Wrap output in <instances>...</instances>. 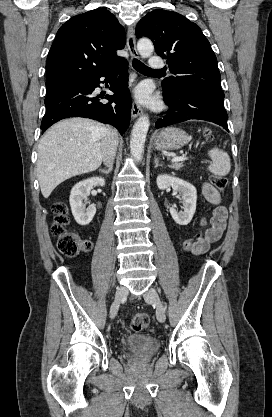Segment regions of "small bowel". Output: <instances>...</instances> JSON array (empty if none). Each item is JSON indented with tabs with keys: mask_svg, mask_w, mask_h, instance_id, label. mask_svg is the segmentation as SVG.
I'll return each mask as SVG.
<instances>
[{
	"mask_svg": "<svg viewBox=\"0 0 272 417\" xmlns=\"http://www.w3.org/2000/svg\"><path fill=\"white\" fill-rule=\"evenodd\" d=\"M202 193L205 199L217 207L213 210L209 217L210 227L205 231L204 239L192 250L194 254H203L208 249L211 243L218 241L226 227L227 210L220 204L218 191L209 183L202 184ZM207 225V218L201 217L198 221V226L203 227Z\"/></svg>",
	"mask_w": 272,
	"mask_h": 417,
	"instance_id": "small-bowel-1",
	"label": "small bowel"
}]
</instances>
